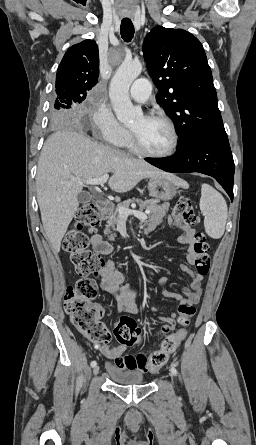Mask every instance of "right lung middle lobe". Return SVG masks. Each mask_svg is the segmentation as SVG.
I'll return each mask as SVG.
<instances>
[{
	"label": "right lung middle lobe",
	"mask_w": 256,
	"mask_h": 445,
	"mask_svg": "<svg viewBox=\"0 0 256 445\" xmlns=\"http://www.w3.org/2000/svg\"><path fill=\"white\" fill-rule=\"evenodd\" d=\"M57 98L54 104V109L51 111L50 118L52 122L63 124L71 120V109L75 103H81L85 98L75 95L72 91H62L56 93Z\"/></svg>",
	"instance_id": "obj_1"
}]
</instances>
